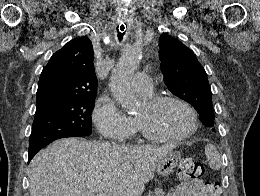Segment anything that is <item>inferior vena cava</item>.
Listing matches in <instances>:
<instances>
[{"mask_svg": "<svg viewBox=\"0 0 260 196\" xmlns=\"http://www.w3.org/2000/svg\"><path fill=\"white\" fill-rule=\"evenodd\" d=\"M110 146L111 148H113V150H120V146H118L116 142H111Z\"/></svg>", "mask_w": 260, "mask_h": 196, "instance_id": "obj_1", "label": "inferior vena cava"}]
</instances>
